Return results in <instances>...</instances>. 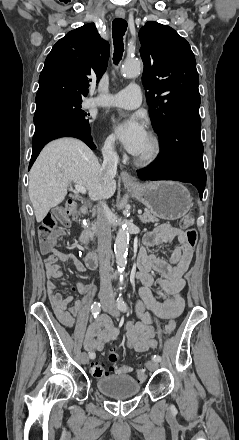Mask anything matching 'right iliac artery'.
Segmentation results:
<instances>
[{
  "instance_id": "obj_1",
  "label": "right iliac artery",
  "mask_w": 239,
  "mask_h": 440,
  "mask_svg": "<svg viewBox=\"0 0 239 440\" xmlns=\"http://www.w3.org/2000/svg\"><path fill=\"white\" fill-rule=\"evenodd\" d=\"M91 311H92L94 318H96L101 311V304L99 302H94L91 306ZM89 356H90V358L95 357V355L93 353H89Z\"/></svg>"
}]
</instances>
